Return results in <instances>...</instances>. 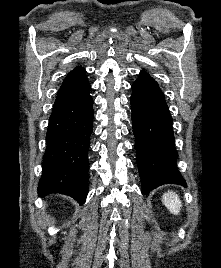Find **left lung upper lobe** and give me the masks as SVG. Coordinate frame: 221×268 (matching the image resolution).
I'll list each match as a JSON object with an SVG mask.
<instances>
[{
    "label": "left lung upper lobe",
    "mask_w": 221,
    "mask_h": 268,
    "mask_svg": "<svg viewBox=\"0 0 221 268\" xmlns=\"http://www.w3.org/2000/svg\"><path fill=\"white\" fill-rule=\"evenodd\" d=\"M140 76L143 77V78L149 79V80H153V79L151 78V76L148 75L147 73H145L144 71H142V72L140 73Z\"/></svg>",
    "instance_id": "left-lung-upper-lobe-1"
}]
</instances>
